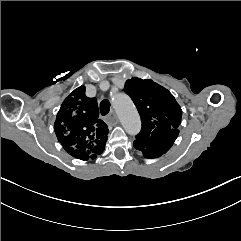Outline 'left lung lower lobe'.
I'll return each mask as SVG.
<instances>
[{
  "label": "left lung lower lobe",
  "mask_w": 241,
  "mask_h": 241,
  "mask_svg": "<svg viewBox=\"0 0 241 241\" xmlns=\"http://www.w3.org/2000/svg\"><path fill=\"white\" fill-rule=\"evenodd\" d=\"M178 134H179V131H176V132H173V133H170L169 135H167L164 143L157 150L140 149L137 144H135V143H133V144H134L135 149L142 151L143 155L146 158H157V157H160L162 154L166 153L170 149V147L173 145L174 141L176 140Z\"/></svg>",
  "instance_id": "0a47b994"
}]
</instances>
